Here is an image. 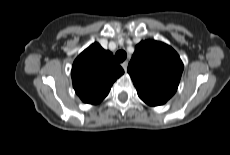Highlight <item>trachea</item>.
Listing matches in <instances>:
<instances>
[{
	"label": "trachea",
	"instance_id": "1",
	"mask_svg": "<svg viewBox=\"0 0 230 155\" xmlns=\"http://www.w3.org/2000/svg\"><path fill=\"white\" fill-rule=\"evenodd\" d=\"M127 57V54L124 50H119L115 54V59L117 62L121 63L123 62Z\"/></svg>",
	"mask_w": 230,
	"mask_h": 155
}]
</instances>
